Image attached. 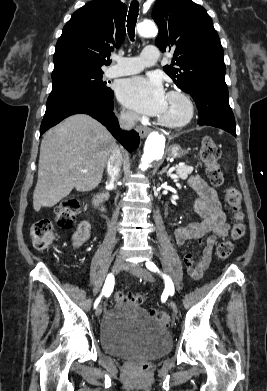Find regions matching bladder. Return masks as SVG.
<instances>
[{
	"label": "bladder",
	"instance_id": "bladder-1",
	"mask_svg": "<svg viewBox=\"0 0 267 391\" xmlns=\"http://www.w3.org/2000/svg\"><path fill=\"white\" fill-rule=\"evenodd\" d=\"M100 342L113 356L154 359L170 350L172 338L141 306L118 302L101 319Z\"/></svg>",
	"mask_w": 267,
	"mask_h": 391
}]
</instances>
